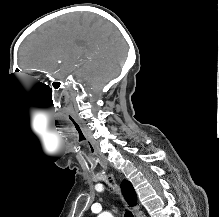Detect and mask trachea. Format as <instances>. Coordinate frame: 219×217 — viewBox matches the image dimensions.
<instances>
[{
  "instance_id": "obj_1",
  "label": "trachea",
  "mask_w": 219,
  "mask_h": 217,
  "mask_svg": "<svg viewBox=\"0 0 219 217\" xmlns=\"http://www.w3.org/2000/svg\"><path fill=\"white\" fill-rule=\"evenodd\" d=\"M125 217H134L130 211H126Z\"/></svg>"
}]
</instances>
